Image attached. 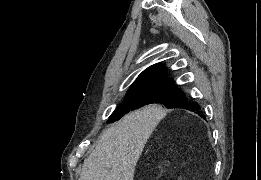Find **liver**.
Returning <instances> with one entry per match:
<instances>
[{
  "label": "liver",
  "instance_id": "liver-1",
  "mask_svg": "<svg viewBox=\"0 0 261 180\" xmlns=\"http://www.w3.org/2000/svg\"><path fill=\"white\" fill-rule=\"evenodd\" d=\"M159 110L155 104L141 108L103 130L95 150L83 162L79 180H133Z\"/></svg>",
  "mask_w": 261,
  "mask_h": 180
}]
</instances>
